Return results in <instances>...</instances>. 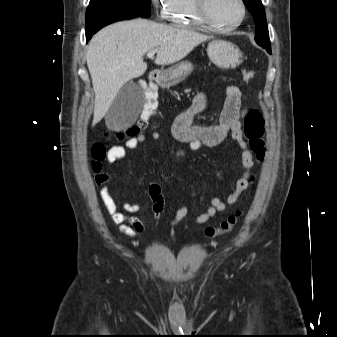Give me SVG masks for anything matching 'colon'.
Wrapping results in <instances>:
<instances>
[{
    "label": "colon",
    "mask_w": 337,
    "mask_h": 337,
    "mask_svg": "<svg viewBox=\"0 0 337 337\" xmlns=\"http://www.w3.org/2000/svg\"><path fill=\"white\" fill-rule=\"evenodd\" d=\"M242 75L246 82H251L255 78V72L251 69H244ZM141 97L144 98V101L139 121L125 130L116 133V138H132L139 135L147 127L149 119H152L153 114L157 112V91H153L152 89L142 91ZM264 126L265 120L262 112L258 108L248 110L244 118V136L248 141L251 151L256 154L257 159L260 161L264 159L265 155ZM192 144L194 147H199L201 143L199 140H194ZM162 150L169 151L170 156L180 155V150L173 149L172 144H163ZM105 154L106 149L102 143L96 142L92 146L93 168L95 170L99 169L100 161L104 158ZM240 216L241 212L238 211L228 217L219 226L206 228L205 235L209 238H215L229 234L236 227Z\"/></svg>",
    "instance_id": "5ec220e1"
}]
</instances>
